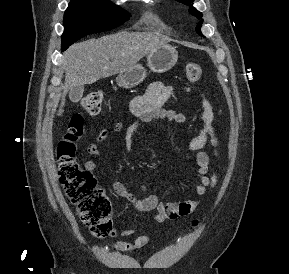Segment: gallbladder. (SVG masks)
<instances>
[{
  "label": "gallbladder",
  "mask_w": 289,
  "mask_h": 274,
  "mask_svg": "<svg viewBox=\"0 0 289 274\" xmlns=\"http://www.w3.org/2000/svg\"><path fill=\"white\" fill-rule=\"evenodd\" d=\"M83 86H76L69 92V98L72 102H78L83 95Z\"/></svg>",
  "instance_id": "bac80fb5"
}]
</instances>
